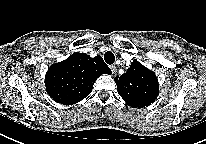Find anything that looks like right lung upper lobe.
Segmentation results:
<instances>
[{"instance_id":"1","label":"right lung upper lobe","mask_w":206,"mask_h":144,"mask_svg":"<svg viewBox=\"0 0 206 144\" xmlns=\"http://www.w3.org/2000/svg\"><path fill=\"white\" fill-rule=\"evenodd\" d=\"M102 74H111V70L100 55L91 58L85 53H74L48 69L45 86L56 102L72 105L91 93L93 84Z\"/></svg>"}]
</instances>
